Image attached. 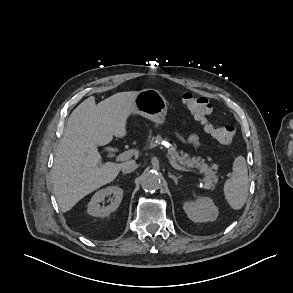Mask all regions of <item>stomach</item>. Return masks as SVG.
<instances>
[{"label": "stomach", "instance_id": "1", "mask_svg": "<svg viewBox=\"0 0 293 293\" xmlns=\"http://www.w3.org/2000/svg\"><path fill=\"white\" fill-rule=\"evenodd\" d=\"M134 113L139 114L157 125L166 122L168 104L164 96L155 89L137 92L133 100Z\"/></svg>", "mask_w": 293, "mask_h": 293}]
</instances>
